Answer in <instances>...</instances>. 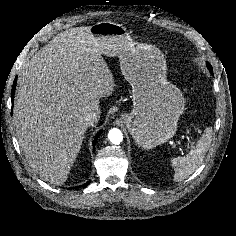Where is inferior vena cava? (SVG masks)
<instances>
[{
	"label": "inferior vena cava",
	"instance_id": "1",
	"mask_svg": "<svg viewBox=\"0 0 236 236\" xmlns=\"http://www.w3.org/2000/svg\"><path fill=\"white\" fill-rule=\"evenodd\" d=\"M100 118V114L94 111L86 112L83 115V124L86 127L93 126L94 124L98 123Z\"/></svg>",
	"mask_w": 236,
	"mask_h": 236
}]
</instances>
